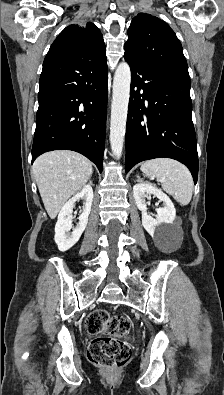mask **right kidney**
Listing matches in <instances>:
<instances>
[{"label":"right kidney","instance_id":"1","mask_svg":"<svg viewBox=\"0 0 224 395\" xmlns=\"http://www.w3.org/2000/svg\"><path fill=\"white\" fill-rule=\"evenodd\" d=\"M80 199L84 200V206L82 208L81 215L79 216V223L74 228L72 225L73 208L75 203ZM92 201L93 189L91 185H86L81 191H79L68 202H66V204L60 210L58 220L55 225L54 236L55 243L57 244L60 251L64 252L69 250L80 239L88 223ZM71 229L72 232L70 234Z\"/></svg>","mask_w":224,"mask_h":395}]
</instances>
